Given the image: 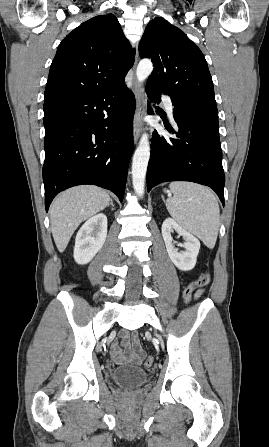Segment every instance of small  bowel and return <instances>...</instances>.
<instances>
[{"label":"small bowel","mask_w":269,"mask_h":447,"mask_svg":"<svg viewBox=\"0 0 269 447\" xmlns=\"http://www.w3.org/2000/svg\"><path fill=\"white\" fill-rule=\"evenodd\" d=\"M203 290L200 289L195 293L194 298L198 299L202 295ZM121 344H113L111 347V359L117 363L122 364L126 362L140 363L141 357H145L147 354L139 343V334L136 331L128 332V330H121L119 333Z\"/></svg>","instance_id":"1"}]
</instances>
